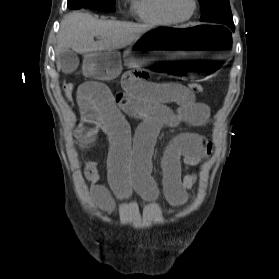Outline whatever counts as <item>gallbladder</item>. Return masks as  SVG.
Returning a JSON list of instances; mask_svg holds the SVG:
<instances>
[{
  "mask_svg": "<svg viewBox=\"0 0 279 279\" xmlns=\"http://www.w3.org/2000/svg\"><path fill=\"white\" fill-rule=\"evenodd\" d=\"M58 62L63 73L71 74L79 66V58L75 51L69 49L62 52L58 57Z\"/></svg>",
  "mask_w": 279,
  "mask_h": 279,
  "instance_id": "obj_1",
  "label": "gallbladder"
}]
</instances>
